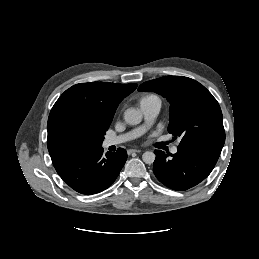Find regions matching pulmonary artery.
<instances>
[{"label":"pulmonary artery","mask_w":259,"mask_h":259,"mask_svg":"<svg viewBox=\"0 0 259 259\" xmlns=\"http://www.w3.org/2000/svg\"><path fill=\"white\" fill-rule=\"evenodd\" d=\"M161 102L158 98H151L140 102V109L143 112V115L146 120V124L140 128H137L129 133L119 135L116 137H109L104 140V146L109 147L112 145H117L131 139H134L140 136L146 128L152 123V121L157 117L160 112ZM177 146H173L171 152L173 154L177 153Z\"/></svg>","instance_id":"1"}]
</instances>
